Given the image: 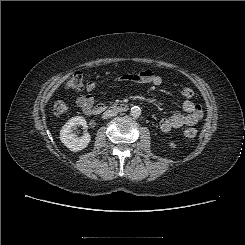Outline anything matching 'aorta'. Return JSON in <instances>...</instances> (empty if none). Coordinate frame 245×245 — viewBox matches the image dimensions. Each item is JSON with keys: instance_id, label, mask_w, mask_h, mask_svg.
<instances>
[{"instance_id": "aorta-1", "label": "aorta", "mask_w": 245, "mask_h": 245, "mask_svg": "<svg viewBox=\"0 0 245 245\" xmlns=\"http://www.w3.org/2000/svg\"><path fill=\"white\" fill-rule=\"evenodd\" d=\"M130 114L132 117H139L141 115V109L138 106H134L130 110Z\"/></svg>"}]
</instances>
